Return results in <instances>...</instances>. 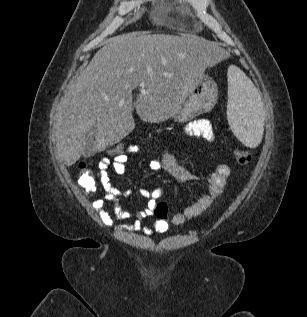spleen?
Here are the masks:
<instances>
[{"label": "spleen", "mask_w": 307, "mask_h": 317, "mask_svg": "<svg viewBox=\"0 0 307 317\" xmlns=\"http://www.w3.org/2000/svg\"><path fill=\"white\" fill-rule=\"evenodd\" d=\"M227 118L235 136L247 147H257L263 135L264 114L260 94L237 67L228 68Z\"/></svg>", "instance_id": "3e777b00"}]
</instances>
